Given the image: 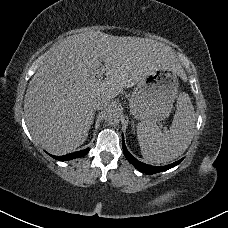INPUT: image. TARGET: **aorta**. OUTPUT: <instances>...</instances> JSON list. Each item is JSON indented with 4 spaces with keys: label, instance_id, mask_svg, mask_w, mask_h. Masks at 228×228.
<instances>
[{
    "label": "aorta",
    "instance_id": "1",
    "mask_svg": "<svg viewBox=\"0 0 228 228\" xmlns=\"http://www.w3.org/2000/svg\"><path fill=\"white\" fill-rule=\"evenodd\" d=\"M105 122L108 125H118L120 122L119 113L116 110H109L105 116Z\"/></svg>",
    "mask_w": 228,
    "mask_h": 228
}]
</instances>
